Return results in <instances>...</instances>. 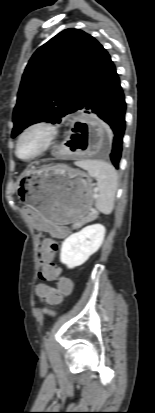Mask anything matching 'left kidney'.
<instances>
[{
  "label": "left kidney",
  "instance_id": "1",
  "mask_svg": "<svg viewBox=\"0 0 155 413\" xmlns=\"http://www.w3.org/2000/svg\"><path fill=\"white\" fill-rule=\"evenodd\" d=\"M105 227L93 224L71 234L62 243L60 261L68 268L84 264L102 245Z\"/></svg>",
  "mask_w": 155,
  "mask_h": 413
}]
</instances>
